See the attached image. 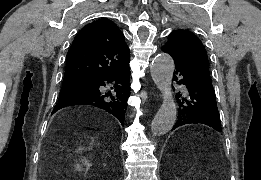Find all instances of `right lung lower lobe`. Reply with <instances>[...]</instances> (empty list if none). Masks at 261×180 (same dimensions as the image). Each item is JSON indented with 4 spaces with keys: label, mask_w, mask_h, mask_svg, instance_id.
Segmentation results:
<instances>
[{
    "label": "right lung lower lobe",
    "mask_w": 261,
    "mask_h": 180,
    "mask_svg": "<svg viewBox=\"0 0 261 180\" xmlns=\"http://www.w3.org/2000/svg\"><path fill=\"white\" fill-rule=\"evenodd\" d=\"M129 77V66L98 77L94 81L95 83L91 91L79 92L59 98L58 103L53 109V113L70 105L88 104L105 109L114 115L121 122V124H123L127 109V99L129 98L131 90ZM105 81L115 83V91L113 94L110 92L104 93L100 91L99 87L105 85Z\"/></svg>",
    "instance_id": "right-lung-lower-lobe-1"
}]
</instances>
